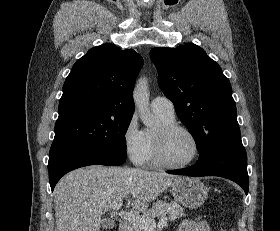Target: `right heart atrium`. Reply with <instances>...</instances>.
<instances>
[{
  "mask_svg": "<svg viewBox=\"0 0 280 231\" xmlns=\"http://www.w3.org/2000/svg\"><path fill=\"white\" fill-rule=\"evenodd\" d=\"M122 145L127 157L135 164H142L147 156L146 133L139 129L135 117H130L122 132Z\"/></svg>",
  "mask_w": 280,
  "mask_h": 231,
  "instance_id": "d8ad5b80",
  "label": "right heart atrium"
}]
</instances>
